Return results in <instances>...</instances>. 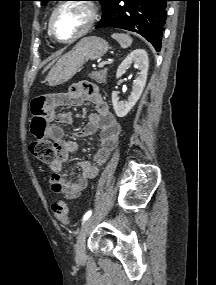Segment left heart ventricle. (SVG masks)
I'll use <instances>...</instances> for the list:
<instances>
[{
  "instance_id": "obj_1",
  "label": "left heart ventricle",
  "mask_w": 216,
  "mask_h": 285,
  "mask_svg": "<svg viewBox=\"0 0 216 285\" xmlns=\"http://www.w3.org/2000/svg\"><path fill=\"white\" fill-rule=\"evenodd\" d=\"M89 11L86 7L70 4L61 8L55 15L53 30L60 39H68L77 34L88 22Z\"/></svg>"
}]
</instances>
